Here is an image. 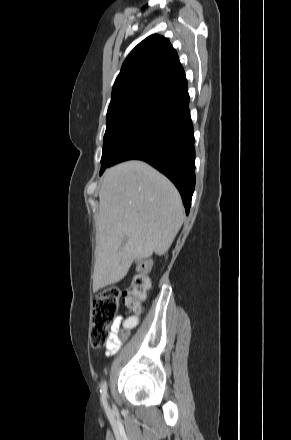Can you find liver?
<instances>
[{
	"label": "liver",
	"mask_w": 291,
	"mask_h": 440,
	"mask_svg": "<svg viewBox=\"0 0 291 440\" xmlns=\"http://www.w3.org/2000/svg\"><path fill=\"white\" fill-rule=\"evenodd\" d=\"M184 220L175 186L149 164L107 169L99 191L93 291L122 280L135 259L164 255Z\"/></svg>",
	"instance_id": "1"
}]
</instances>
